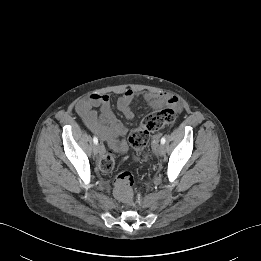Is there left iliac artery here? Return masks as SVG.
I'll return each instance as SVG.
<instances>
[{
    "label": "left iliac artery",
    "instance_id": "obj_1",
    "mask_svg": "<svg viewBox=\"0 0 261 261\" xmlns=\"http://www.w3.org/2000/svg\"><path fill=\"white\" fill-rule=\"evenodd\" d=\"M165 142H166V138H165V137H162V138H161V144H165Z\"/></svg>",
    "mask_w": 261,
    "mask_h": 261
}]
</instances>
